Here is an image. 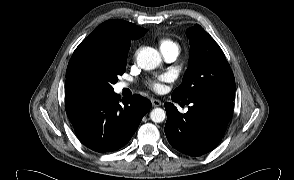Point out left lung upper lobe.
<instances>
[{
    "mask_svg": "<svg viewBox=\"0 0 294 180\" xmlns=\"http://www.w3.org/2000/svg\"><path fill=\"white\" fill-rule=\"evenodd\" d=\"M189 67L172 97L187 101L193 98H235V79L225 55L214 39L198 24L189 28Z\"/></svg>",
    "mask_w": 294,
    "mask_h": 180,
    "instance_id": "left-lung-upper-lobe-1",
    "label": "left lung upper lobe"
}]
</instances>
